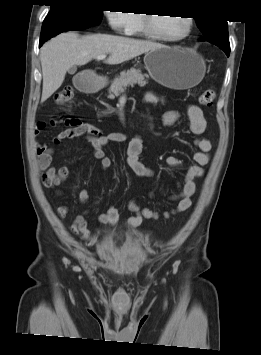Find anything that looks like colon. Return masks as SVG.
<instances>
[{"label":"colon","mask_w":261,"mask_h":355,"mask_svg":"<svg viewBox=\"0 0 261 355\" xmlns=\"http://www.w3.org/2000/svg\"><path fill=\"white\" fill-rule=\"evenodd\" d=\"M216 98V91L213 88H209L204 90L200 97H199V103L202 106L210 107L213 105L214 101ZM74 96H73V90L71 87H64L57 91L54 95V100L57 104L59 105H69L73 102ZM38 126H42V123H40Z\"/></svg>","instance_id":"1"}]
</instances>
